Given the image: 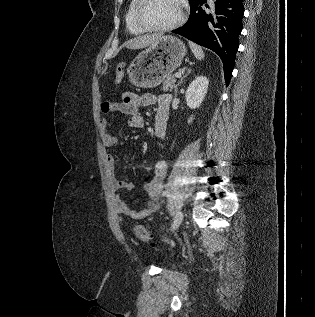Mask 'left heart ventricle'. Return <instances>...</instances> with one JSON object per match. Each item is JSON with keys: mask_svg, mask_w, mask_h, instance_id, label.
Here are the masks:
<instances>
[{"mask_svg": "<svg viewBox=\"0 0 315 317\" xmlns=\"http://www.w3.org/2000/svg\"><path fill=\"white\" fill-rule=\"evenodd\" d=\"M178 0H147L141 9L142 21L150 26H165L179 15Z\"/></svg>", "mask_w": 315, "mask_h": 317, "instance_id": "obj_1", "label": "left heart ventricle"}]
</instances>
